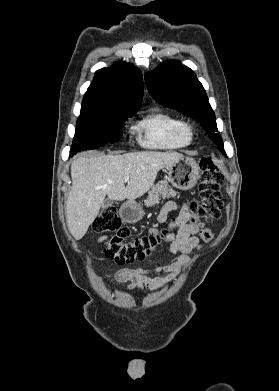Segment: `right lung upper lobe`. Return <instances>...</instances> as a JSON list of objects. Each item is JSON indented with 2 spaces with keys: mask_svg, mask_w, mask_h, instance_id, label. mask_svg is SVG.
Masks as SVG:
<instances>
[{
  "mask_svg": "<svg viewBox=\"0 0 279 391\" xmlns=\"http://www.w3.org/2000/svg\"><path fill=\"white\" fill-rule=\"evenodd\" d=\"M142 97L141 71L129 63L118 62L95 73L84 95L81 113L138 109Z\"/></svg>",
  "mask_w": 279,
  "mask_h": 391,
  "instance_id": "cb5924a9",
  "label": "right lung upper lobe"
}]
</instances>
